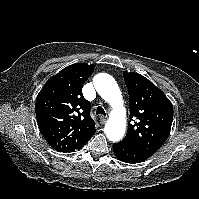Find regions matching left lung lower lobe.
<instances>
[{
	"label": "left lung lower lobe",
	"instance_id": "1",
	"mask_svg": "<svg viewBox=\"0 0 199 199\" xmlns=\"http://www.w3.org/2000/svg\"><path fill=\"white\" fill-rule=\"evenodd\" d=\"M113 151L120 161L130 164L143 162L150 157L124 141L114 143Z\"/></svg>",
	"mask_w": 199,
	"mask_h": 199
}]
</instances>
